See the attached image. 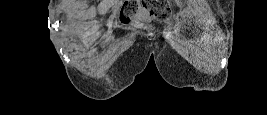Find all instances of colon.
Instances as JSON below:
<instances>
[{"mask_svg": "<svg viewBox=\"0 0 267 115\" xmlns=\"http://www.w3.org/2000/svg\"><path fill=\"white\" fill-rule=\"evenodd\" d=\"M141 7L159 21L167 20L171 14L170 3L168 0H131L123 4L120 10V21L123 24L134 23Z\"/></svg>", "mask_w": 267, "mask_h": 115, "instance_id": "colon-1", "label": "colon"}]
</instances>
